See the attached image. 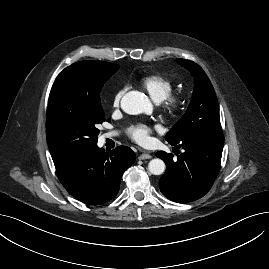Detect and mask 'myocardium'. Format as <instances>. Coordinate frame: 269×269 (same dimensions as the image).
<instances>
[{"label": "myocardium", "instance_id": "myocardium-1", "mask_svg": "<svg viewBox=\"0 0 269 269\" xmlns=\"http://www.w3.org/2000/svg\"><path fill=\"white\" fill-rule=\"evenodd\" d=\"M183 103V97L179 94H170L162 101L164 109L171 116H176L180 113L183 107Z\"/></svg>", "mask_w": 269, "mask_h": 269}]
</instances>
